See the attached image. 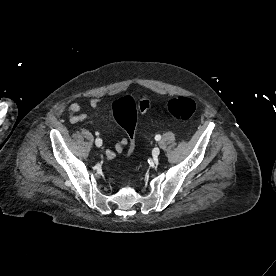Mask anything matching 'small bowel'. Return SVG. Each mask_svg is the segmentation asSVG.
<instances>
[{
  "label": "small bowel",
  "instance_id": "1",
  "mask_svg": "<svg viewBox=\"0 0 276 276\" xmlns=\"http://www.w3.org/2000/svg\"><path fill=\"white\" fill-rule=\"evenodd\" d=\"M103 103V99L95 97L89 100V106L93 109H97ZM82 105L79 102L72 103L69 107L70 118L69 121L71 124H77L89 119V116L82 112ZM128 144L127 139L120 140L114 147V149L106 150V156L109 159L114 158L117 154H120L124 147Z\"/></svg>",
  "mask_w": 276,
  "mask_h": 276
}]
</instances>
